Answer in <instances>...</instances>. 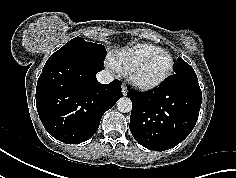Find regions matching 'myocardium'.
Wrapping results in <instances>:
<instances>
[{
	"label": "myocardium",
	"instance_id": "myocardium-1",
	"mask_svg": "<svg viewBox=\"0 0 236 178\" xmlns=\"http://www.w3.org/2000/svg\"><path fill=\"white\" fill-rule=\"evenodd\" d=\"M160 55H167L170 59V64H169L167 71L159 79H157L155 81H145V80L141 79L138 76V73H139L140 69L142 68V66L147 61H149L157 56H160ZM173 67H174V59H173L172 55L169 52L162 50V51L152 53V54L142 58L141 60L136 62L128 70V72L126 74H127L128 81L136 88H138L140 90H151V89H155V88L159 87L160 85H162L171 76L172 71H173Z\"/></svg>",
	"mask_w": 236,
	"mask_h": 178
}]
</instances>
